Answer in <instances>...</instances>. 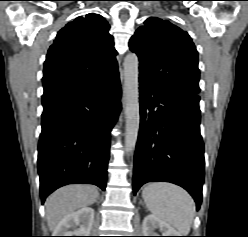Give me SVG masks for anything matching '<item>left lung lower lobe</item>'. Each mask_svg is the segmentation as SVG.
<instances>
[{
	"label": "left lung lower lobe",
	"mask_w": 248,
	"mask_h": 237,
	"mask_svg": "<svg viewBox=\"0 0 248 237\" xmlns=\"http://www.w3.org/2000/svg\"><path fill=\"white\" fill-rule=\"evenodd\" d=\"M140 131L134 156L133 191L166 181L186 189L199 210L204 181L200 97L164 91L140 78Z\"/></svg>",
	"instance_id": "1"
}]
</instances>
